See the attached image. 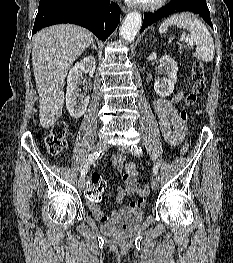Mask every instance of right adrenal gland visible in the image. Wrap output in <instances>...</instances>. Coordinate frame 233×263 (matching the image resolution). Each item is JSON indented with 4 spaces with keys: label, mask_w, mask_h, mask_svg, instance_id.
Masks as SVG:
<instances>
[{
    "label": "right adrenal gland",
    "mask_w": 233,
    "mask_h": 263,
    "mask_svg": "<svg viewBox=\"0 0 233 263\" xmlns=\"http://www.w3.org/2000/svg\"><path fill=\"white\" fill-rule=\"evenodd\" d=\"M91 48L97 50V47H96V45L94 44V41L91 43Z\"/></svg>",
    "instance_id": "obj_1"
}]
</instances>
